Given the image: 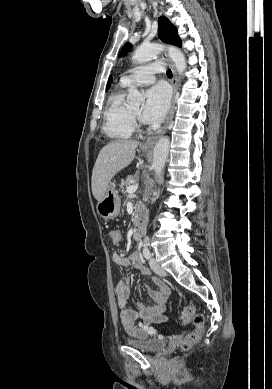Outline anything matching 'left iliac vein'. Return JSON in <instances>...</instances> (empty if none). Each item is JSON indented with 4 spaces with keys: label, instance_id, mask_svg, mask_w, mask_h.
I'll use <instances>...</instances> for the list:
<instances>
[{
    "label": "left iliac vein",
    "instance_id": "1",
    "mask_svg": "<svg viewBox=\"0 0 272 389\" xmlns=\"http://www.w3.org/2000/svg\"><path fill=\"white\" fill-rule=\"evenodd\" d=\"M149 265L151 269L160 276H166V271L157 263V261L152 257L149 260Z\"/></svg>",
    "mask_w": 272,
    "mask_h": 389
}]
</instances>
